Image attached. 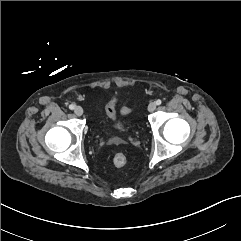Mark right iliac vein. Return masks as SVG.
Wrapping results in <instances>:
<instances>
[{"instance_id": "1", "label": "right iliac vein", "mask_w": 241, "mask_h": 241, "mask_svg": "<svg viewBox=\"0 0 241 241\" xmlns=\"http://www.w3.org/2000/svg\"><path fill=\"white\" fill-rule=\"evenodd\" d=\"M74 112L77 116H81L83 114V108L81 106H76Z\"/></svg>"}]
</instances>
